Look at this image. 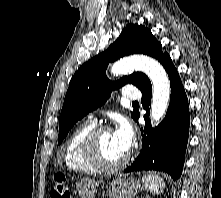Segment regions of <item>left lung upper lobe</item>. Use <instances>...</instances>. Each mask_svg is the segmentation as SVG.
<instances>
[{
	"label": "left lung upper lobe",
	"instance_id": "left-lung-upper-lobe-1",
	"mask_svg": "<svg viewBox=\"0 0 221 198\" xmlns=\"http://www.w3.org/2000/svg\"><path fill=\"white\" fill-rule=\"evenodd\" d=\"M131 54H146L161 63L168 55L162 52L161 43L143 25L128 24L109 49L83 64L72 77L67 90L59 120L58 144H61L72 126L89 112L103 105L111 91L127 83L141 88L150 80L136 72L112 82L106 76L109 62ZM133 111V119L137 116Z\"/></svg>",
	"mask_w": 221,
	"mask_h": 198
}]
</instances>
